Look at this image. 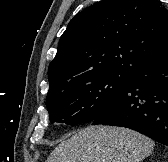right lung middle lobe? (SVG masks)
Wrapping results in <instances>:
<instances>
[{"label":"right lung middle lobe","instance_id":"dd1d6c3e","mask_svg":"<svg viewBox=\"0 0 168 162\" xmlns=\"http://www.w3.org/2000/svg\"><path fill=\"white\" fill-rule=\"evenodd\" d=\"M129 78L127 74L106 73L84 77L50 90L46 97L50 121L68 125L93 121Z\"/></svg>","mask_w":168,"mask_h":162}]
</instances>
